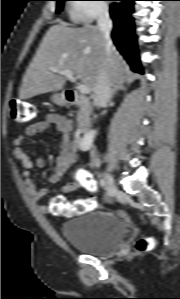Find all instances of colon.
Listing matches in <instances>:
<instances>
[{
	"instance_id": "5ec220e1",
	"label": "colon",
	"mask_w": 180,
	"mask_h": 299,
	"mask_svg": "<svg viewBox=\"0 0 180 299\" xmlns=\"http://www.w3.org/2000/svg\"><path fill=\"white\" fill-rule=\"evenodd\" d=\"M9 116L10 119L19 125L27 124L38 117L37 107L27 101L12 99L9 102ZM83 184L89 190L95 189V182L89 176L83 177ZM92 200H75L73 202H66L61 197H54L50 204V213L53 215H80L84 214L94 208ZM153 240L149 237L140 238L135 244L137 252H145L151 249Z\"/></svg>"
}]
</instances>
